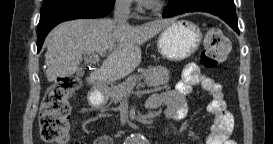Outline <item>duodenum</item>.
Instances as JSON below:
<instances>
[{"mask_svg": "<svg viewBox=\"0 0 273 144\" xmlns=\"http://www.w3.org/2000/svg\"><path fill=\"white\" fill-rule=\"evenodd\" d=\"M105 91V88L103 87V85L101 84H96L95 87H94V92L95 93H103ZM154 102L158 105H161L164 103V99L162 97V95H156L155 96V100Z\"/></svg>", "mask_w": 273, "mask_h": 144, "instance_id": "1", "label": "duodenum"}]
</instances>
